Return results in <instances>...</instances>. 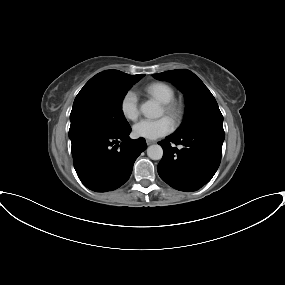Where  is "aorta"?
I'll return each mask as SVG.
<instances>
[{
  "label": "aorta",
  "instance_id": "aorta-1",
  "mask_svg": "<svg viewBox=\"0 0 285 285\" xmlns=\"http://www.w3.org/2000/svg\"><path fill=\"white\" fill-rule=\"evenodd\" d=\"M141 112L147 118H158L162 115L160 105L152 100H148L141 105ZM147 155L152 160H160L163 156V149L160 145L154 144L147 148Z\"/></svg>",
  "mask_w": 285,
  "mask_h": 285
}]
</instances>
